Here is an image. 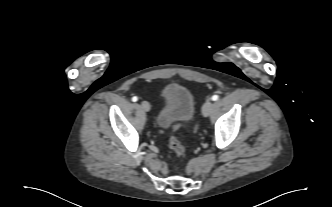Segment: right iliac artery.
I'll return each instance as SVG.
<instances>
[{
	"mask_svg": "<svg viewBox=\"0 0 332 207\" xmlns=\"http://www.w3.org/2000/svg\"><path fill=\"white\" fill-rule=\"evenodd\" d=\"M138 100V98L136 97V96H134L133 98H132V101L133 102H136Z\"/></svg>",
	"mask_w": 332,
	"mask_h": 207,
	"instance_id": "1",
	"label": "right iliac artery"
}]
</instances>
